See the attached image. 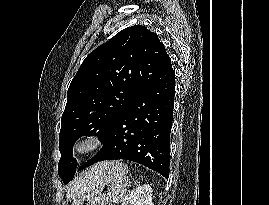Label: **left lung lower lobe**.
I'll return each mask as SVG.
<instances>
[{
	"label": "left lung lower lobe",
	"instance_id": "1",
	"mask_svg": "<svg viewBox=\"0 0 269 205\" xmlns=\"http://www.w3.org/2000/svg\"><path fill=\"white\" fill-rule=\"evenodd\" d=\"M175 72L169 58L147 88L120 114L100 152L78 171L103 160L126 159L169 177Z\"/></svg>",
	"mask_w": 269,
	"mask_h": 205
}]
</instances>
